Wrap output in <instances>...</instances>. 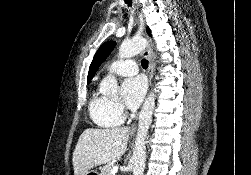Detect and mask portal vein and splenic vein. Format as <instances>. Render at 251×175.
<instances>
[{
  "instance_id": "1",
  "label": "portal vein and splenic vein",
  "mask_w": 251,
  "mask_h": 175,
  "mask_svg": "<svg viewBox=\"0 0 251 175\" xmlns=\"http://www.w3.org/2000/svg\"><path fill=\"white\" fill-rule=\"evenodd\" d=\"M118 169H119V165H114V167H112V169H111L112 175H115V173H117Z\"/></svg>"
}]
</instances>
